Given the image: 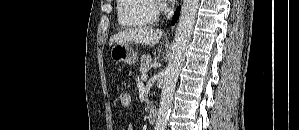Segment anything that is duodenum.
<instances>
[{"label":"duodenum","mask_w":299,"mask_h":130,"mask_svg":"<svg viewBox=\"0 0 299 130\" xmlns=\"http://www.w3.org/2000/svg\"><path fill=\"white\" fill-rule=\"evenodd\" d=\"M147 119L149 124H155L157 121V110L154 108H150L148 111Z\"/></svg>","instance_id":"obj_1"}]
</instances>
